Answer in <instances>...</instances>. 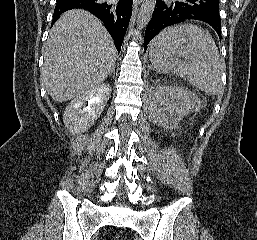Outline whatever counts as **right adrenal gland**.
<instances>
[{"label": "right adrenal gland", "instance_id": "obj_1", "mask_svg": "<svg viewBox=\"0 0 257 240\" xmlns=\"http://www.w3.org/2000/svg\"><path fill=\"white\" fill-rule=\"evenodd\" d=\"M113 74V77H115V68H113L112 72L110 73V75Z\"/></svg>", "mask_w": 257, "mask_h": 240}]
</instances>
